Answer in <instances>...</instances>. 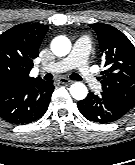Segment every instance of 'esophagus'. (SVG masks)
Masks as SVG:
<instances>
[{"label":"esophagus","mask_w":135,"mask_h":165,"mask_svg":"<svg viewBox=\"0 0 135 165\" xmlns=\"http://www.w3.org/2000/svg\"><path fill=\"white\" fill-rule=\"evenodd\" d=\"M58 81L59 83L64 84V85H70L73 83L72 80L64 78V77L59 78Z\"/></svg>","instance_id":"1"}]
</instances>
